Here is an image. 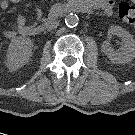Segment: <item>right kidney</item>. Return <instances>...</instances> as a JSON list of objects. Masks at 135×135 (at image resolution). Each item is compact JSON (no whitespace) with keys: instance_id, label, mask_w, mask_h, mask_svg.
Here are the masks:
<instances>
[{"instance_id":"ca27d5eb","label":"right kidney","mask_w":135,"mask_h":135,"mask_svg":"<svg viewBox=\"0 0 135 135\" xmlns=\"http://www.w3.org/2000/svg\"><path fill=\"white\" fill-rule=\"evenodd\" d=\"M33 42L23 36L14 38L8 47L7 67L10 71H16L23 67L32 55Z\"/></svg>"}]
</instances>
